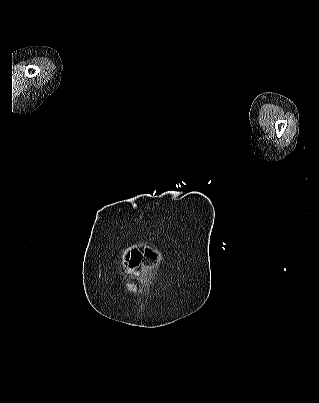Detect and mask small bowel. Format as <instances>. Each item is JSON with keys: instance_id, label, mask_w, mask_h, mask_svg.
I'll use <instances>...</instances> for the list:
<instances>
[{"instance_id": "small-bowel-1", "label": "small bowel", "mask_w": 319, "mask_h": 403, "mask_svg": "<svg viewBox=\"0 0 319 403\" xmlns=\"http://www.w3.org/2000/svg\"><path fill=\"white\" fill-rule=\"evenodd\" d=\"M144 256H147L153 260L158 258V254L151 249L146 250L144 253L135 250L125 260V267L128 272L137 274L140 270L141 261Z\"/></svg>"}]
</instances>
